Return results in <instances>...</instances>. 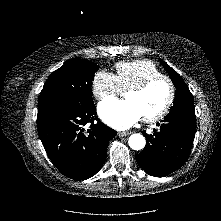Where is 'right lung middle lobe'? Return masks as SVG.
<instances>
[{"mask_svg": "<svg viewBox=\"0 0 221 221\" xmlns=\"http://www.w3.org/2000/svg\"><path fill=\"white\" fill-rule=\"evenodd\" d=\"M98 65L86 59H71L51 73L38 99V109L66 101L92 97L91 85Z\"/></svg>", "mask_w": 221, "mask_h": 221, "instance_id": "1", "label": "right lung middle lobe"}]
</instances>
